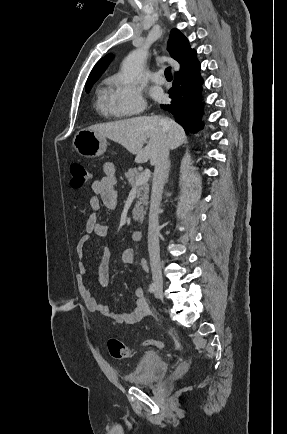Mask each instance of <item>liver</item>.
Listing matches in <instances>:
<instances>
[{"label":"liver","mask_w":287,"mask_h":434,"mask_svg":"<svg viewBox=\"0 0 287 434\" xmlns=\"http://www.w3.org/2000/svg\"><path fill=\"white\" fill-rule=\"evenodd\" d=\"M158 116H142L89 127L97 134L121 144L130 153L136 155L137 163L150 160L154 165L155 158L163 136L162 126ZM168 141L169 149H176L186 143L187 137L180 125L169 118ZM146 143V146L144 144Z\"/></svg>","instance_id":"obj_1"}]
</instances>
